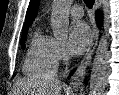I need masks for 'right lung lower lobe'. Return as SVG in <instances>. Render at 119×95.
<instances>
[{
    "instance_id": "right-lung-lower-lobe-1",
    "label": "right lung lower lobe",
    "mask_w": 119,
    "mask_h": 95,
    "mask_svg": "<svg viewBox=\"0 0 119 95\" xmlns=\"http://www.w3.org/2000/svg\"><path fill=\"white\" fill-rule=\"evenodd\" d=\"M96 20L99 24H101L102 16H101V13L99 11L96 12Z\"/></svg>"
}]
</instances>
